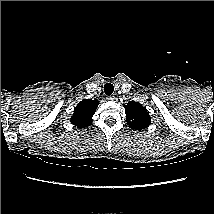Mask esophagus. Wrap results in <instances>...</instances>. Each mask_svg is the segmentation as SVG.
I'll list each match as a JSON object with an SVG mask.
<instances>
[{
    "label": "esophagus",
    "mask_w": 214,
    "mask_h": 214,
    "mask_svg": "<svg viewBox=\"0 0 214 214\" xmlns=\"http://www.w3.org/2000/svg\"><path fill=\"white\" fill-rule=\"evenodd\" d=\"M115 99H116V98H115L114 96H109V97H107V100H108V101H115Z\"/></svg>",
    "instance_id": "34e87169"
}]
</instances>
